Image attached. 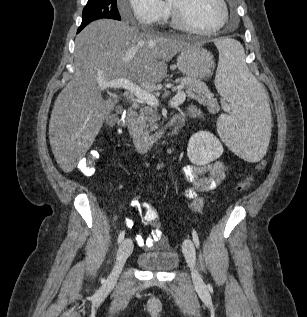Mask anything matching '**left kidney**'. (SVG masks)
Returning <instances> with one entry per match:
<instances>
[{
  "label": "left kidney",
  "mask_w": 307,
  "mask_h": 317,
  "mask_svg": "<svg viewBox=\"0 0 307 317\" xmlns=\"http://www.w3.org/2000/svg\"><path fill=\"white\" fill-rule=\"evenodd\" d=\"M222 153L221 142L208 131H199L189 139L187 154L189 160L195 165H206L218 159Z\"/></svg>",
  "instance_id": "1"
}]
</instances>
